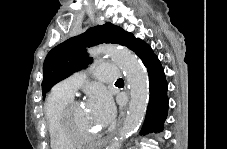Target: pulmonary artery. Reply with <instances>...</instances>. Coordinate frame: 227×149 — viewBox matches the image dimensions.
Listing matches in <instances>:
<instances>
[{
    "label": "pulmonary artery",
    "instance_id": "1",
    "mask_svg": "<svg viewBox=\"0 0 227 149\" xmlns=\"http://www.w3.org/2000/svg\"><path fill=\"white\" fill-rule=\"evenodd\" d=\"M97 75L101 82H113L120 79V70L114 65L104 63L97 66ZM83 81L82 74H74L57 84L55 90L72 97Z\"/></svg>",
    "mask_w": 227,
    "mask_h": 149
}]
</instances>
